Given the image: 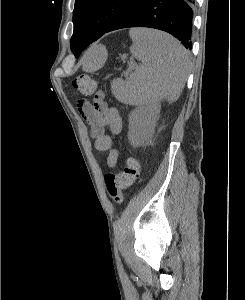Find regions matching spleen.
<instances>
[{
  "label": "spleen",
  "instance_id": "1",
  "mask_svg": "<svg viewBox=\"0 0 245 300\" xmlns=\"http://www.w3.org/2000/svg\"><path fill=\"white\" fill-rule=\"evenodd\" d=\"M129 35L133 41L130 52L142 65L126 81L113 79L111 89L115 98L136 106H154L162 99L176 101L190 69L186 49L171 35L153 29L134 28ZM98 53V57L84 64V71L93 72L103 65L106 52L100 48Z\"/></svg>",
  "mask_w": 245,
  "mask_h": 300
}]
</instances>
